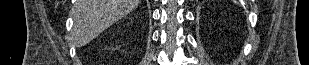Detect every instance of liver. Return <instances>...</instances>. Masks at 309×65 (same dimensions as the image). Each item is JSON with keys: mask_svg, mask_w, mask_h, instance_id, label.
I'll use <instances>...</instances> for the list:
<instances>
[{"mask_svg": "<svg viewBox=\"0 0 309 65\" xmlns=\"http://www.w3.org/2000/svg\"><path fill=\"white\" fill-rule=\"evenodd\" d=\"M140 0H78L72 32L75 46L95 39L112 24L129 14Z\"/></svg>", "mask_w": 309, "mask_h": 65, "instance_id": "liver-1", "label": "liver"}]
</instances>
